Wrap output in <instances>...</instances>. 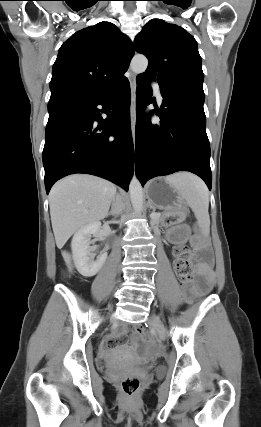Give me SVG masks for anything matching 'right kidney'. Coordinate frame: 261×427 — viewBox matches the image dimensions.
<instances>
[{
	"label": "right kidney",
	"instance_id": "ca27d5eb",
	"mask_svg": "<svg viewBox=\"0 0 261 427\" xmlns=\"http://www.w3.org/2000/svg\"><path fill=\"white\" fill-rule=\"evenodd\" d=\"M100 231L101 222L96 221L78 230L72 238L71 247L74 263L78 272L85 277L96 275L107 259V252L104 251L95 260L94 251L96 247L90 246L92 235L97 236Z\"/></svg>",
	"mask_w": 261,
	"mask_h": 427
}]
</instances>
